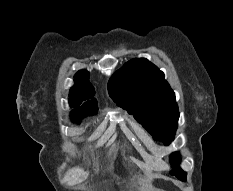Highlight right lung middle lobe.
Masks as SVG:
<instances>
[{"label":"right lung middle lobe","mask_w":233,"mask_h":191,"mask_svg":"<svg viewBox=\"0 0 233 191\" xmlns=\"http://www.w3.org/2000/svg\"><path fill=\"white\" fill-rule=\"evenodd\" d=\"M75 121H79L82 117H72Z\"/></svg>","instance_id":"right-lung-middle-lobe-1"}]
</instances>
